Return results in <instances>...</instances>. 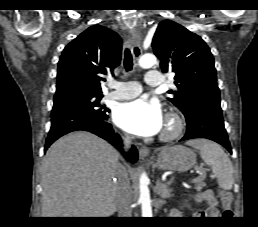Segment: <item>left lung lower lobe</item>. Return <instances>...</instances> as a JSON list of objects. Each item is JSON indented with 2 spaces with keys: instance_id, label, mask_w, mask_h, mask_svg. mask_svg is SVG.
Returning <instances> with one entry per match:
<instances>
[{
  "instance_id": "0a47b994",
  "label": "left lung lower lobe",
  "mask_w": 258,
  "mask_h": 227,
  "mask_svg": "<svg viewBox=\"0 0 258 227\" xmlns=\"http://www.w3.org/2000/svg\"><path fill=\"white\" fill-rule=\"evenodd\" d=\"M194 138L213 140L231 152V145L224 128L222 110L220 108H202L192 119L187 120V131L181 141Z\"/></svg>"
}]
</instances>
